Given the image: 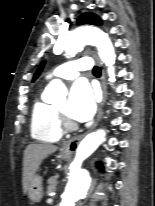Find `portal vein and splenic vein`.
<instances>
[{
    "label": "portal vein and splenic vein",
    "mask_w": 155,
    "mask_h": 206,
    "mask_svg": "<svg viewBox=\"0 0 155 206\" xmlns=\"http://www.w3.org/2000/svg\"><path fill=\"white\" fill-rule=\"evenodd\" d=\"M47 202H48V203H51V202H53V199H52V198H49V199L47 200Z\"/></svg>",
    "instance_id": "portal-vein-and-splenic-vein-1"
}]
</instances>
